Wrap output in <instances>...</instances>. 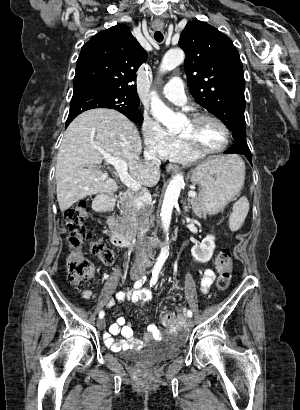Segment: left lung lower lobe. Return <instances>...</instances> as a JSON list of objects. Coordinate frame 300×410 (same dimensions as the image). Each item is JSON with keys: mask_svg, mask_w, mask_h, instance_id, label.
<instances>
[{"mask_svg": "<svg viewBox=\"0 0 300 410\" xmlns=\"http://www.w3.org/2000/svg\"><path fill=\"white\" fill-rule=\"evenodd\" d=\"M224 153H227V154H229V153L242 154V155L246 156V158L252 164L251 153H250L249 147L246 145V143L235 142L234 146L231 147L230 149L226 150Z\"/></svg>", "mask_w": 300, "mask_h": 410, "instance_id": "1", "label": "left lung lower lobe"}]
</instances>
